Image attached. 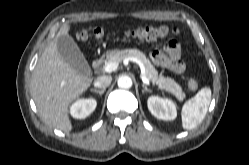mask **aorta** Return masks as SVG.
<instances>
[{
    "label": "aorta",
    "mask_w": 249,
    "mask_h": 165,
    "mask_svg": "<svg viewBox=\"0 0 249 165\" xmlns=\"http://www.w3.org/2000/svg\"><path fill=\"white\" fill-rule=\"evenodd\" d=\"M118 86L120 88L128 89L132 87V79L129 76L123 75L118 79Z\"/></svg>",
    "instance_id": "1"
}]
</instances>
